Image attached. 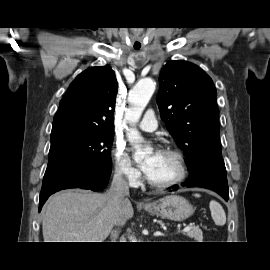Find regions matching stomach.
Masks as SVG:
<instances>
[{
    "mask_svg": "<svg viewBox=\"0 0 270 270\" xmlns=\"http://www.w3.org/2000/svg\"><path fill=\"white\" fill-rule=\"evenodd\" d=\"M144 209L149 213L174 221H183L194 213L189 201L179 195H167L144 206Z\"/></svg>",
    "mask_w": 270,
    "mask_h": 270,
    "instance_id": "stomach-1",
    "label": "stomach"
}]
</instances>
